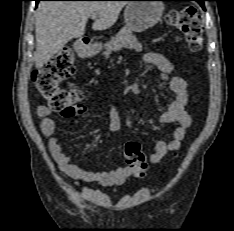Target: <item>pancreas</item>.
<instances>
[{
  "label": "pancreas",
  "mask_w": 234,
  "mask_h": 231,
  "mask_svg": "<svg viewBox=\"0 0 234 231\" xmlns=\"http://www.w3.org/2000/svg\"><path fill=\"white\" fill-rule=\"evenodd\" d=\"M122 48H128L138 52L142 51L143 49L136 36L126 27L122 28L105 44V51L103 55L108 57L113 51H118Z\"/></svg>",
  "instance_id": "cf45deb5"
}]
</instances>
